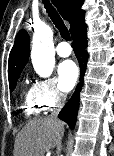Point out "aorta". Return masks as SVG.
Returning a JSON list of instances; mask_svg holds the SVG:
<instances>
[{
    "label": "aorta",
    "mask_w": 114,
    "mask_h": 156,
    "mask_svg": "<svg viewBox=\"0 0 114 156\" xmlns=\"http://www.w3.org/2000/svg\"><path fill=\"white\" fill-rule=\"evenodd\" d=\"M31 59L34 70L41 77H49L55 65V51L53 45V32L48 25L35 28Z\"/></svg>",
    "instance_id": "1"
}]
</instances>
